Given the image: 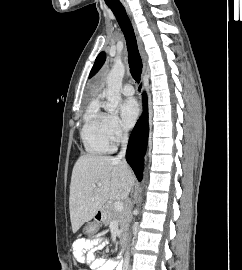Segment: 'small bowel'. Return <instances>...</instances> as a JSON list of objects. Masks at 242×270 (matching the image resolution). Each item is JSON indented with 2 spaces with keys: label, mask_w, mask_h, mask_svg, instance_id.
<instances>
[{
  "label": "small bowel",
  "mask_w": 242,
  "mask_h": 270,
  "mask_svg": "<svg viewBox=\"0 0 242 270\" xmlns=\"http://www.w3.org/2000/svg\"><path fill=\"white\" fill-rule=\"evenodd\" d=\"M106 244L107 242L104 239L78 241L74 244V256L76 259L88 263L93 270H120L116 258L107 260L95 256V253L104 248Z\"/></svg>",
  "instance_id": "1"
}]
</instances>
